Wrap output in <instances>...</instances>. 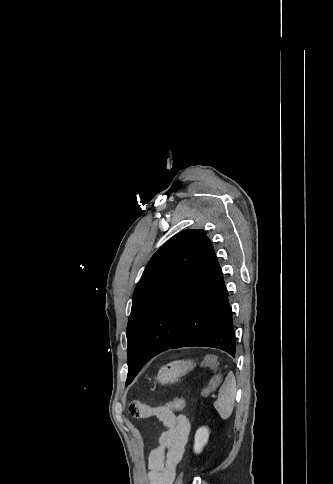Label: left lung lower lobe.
Listing matches in <instances>:
<instances>
[{
	"label": "left lung lower lobe",
	"mask_w": 333,
	"mask_h": 484,
	"mask_svg": "<svg viewBox=\"0 0 333 484\" xmlns=\"http://www.w3.org/2000/svg\"><path fill=\"white\" fill-rule=\"evenodd\" d=\"M191 346L218 348L233 357L236 353L228 292L208 238L155 309L133 363L144 365L162 352Z\"/></svg>",
	"instance_id": "left-lung-lower-lobe-1"
}]
</instances>
